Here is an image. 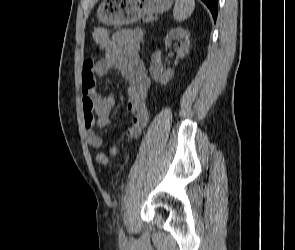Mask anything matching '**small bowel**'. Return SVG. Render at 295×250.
<instances>
[{"mask_svg": "<svg viewBox=\"0 0 295 250\" xmlns=\"http://www.w3.org/2000/svg\"><path fill=\"white\" fill-rule=\"evenodd\" d=\"M142 38L143 33L138 28L119 30L102 47L104 53L101 57L87 59L83 63L82 106L86 141L94 148L103 146L98 131L109 124V114L115 106L112 94L101 95L96 90L97 78L110 69H115L128 81L127 110L131 116V126L127 129V135L131 138L139 136L148 122L147 97L151 81L139 54ZM111 150L115 152V147Z\"/></svg>", "mask_w": 295, "mask_h": 250, "instance_id": "obj_1", "label": "small bowel"}]
</instances>
